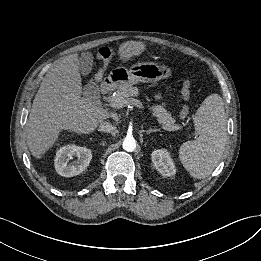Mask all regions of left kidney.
Here are the masks:
<instances>
[{
	"label": "left kidney",
	"instance_id": "1",
	"mask_svg": "<svg viewBox=\"0 0 261 261\" xmlns=\"http://www.w3.org/2000/svg\"><path fill=\"white\" fill-rule=\"evenodd\" d=\"M151 158L155 168L162 176L170 177L176 174L175 165L167 150H154L151 154Z\"/></svg>",
	"mask_w": 261,
	"mask_h": 261
}]
</instances>
